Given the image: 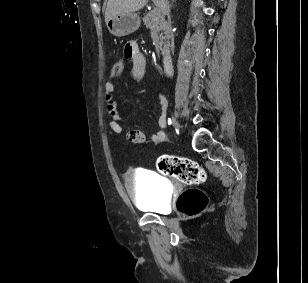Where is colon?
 Wrapping results in <instances>:
<instances>
[{
  "instance_id": "colon-1",
  "label": "colon",
  "mask_w": 308,
  "mask_h": 283,
  "mask_svg": "<svg viewBox=\"0 0 308 283\" xmlns=\"http://www.w3.org/2000/svg\"><path fill=\"white\" fill-rule=\"evenodd\" d=\"M124 63L117 60L113 64L112 74L121 75ZM158 170L167 176H171L188 185H197L205 181L206 174L203 168L194 160L162 155L157 160ZM207 206V199L203 192L189 188L183 191L177 200V208L186 215L194 216L201 213Z\"/></svg>"
}]
</instances>
